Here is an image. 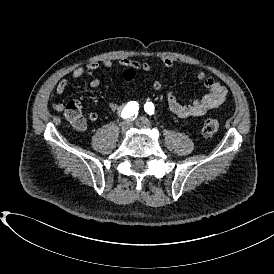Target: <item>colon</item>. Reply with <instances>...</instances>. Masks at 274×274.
Instances as JSON below:
<instances>
[{
    "mask_svg": "<svg viewBox=\"0 0 274 274\" xmlns=\"http://www.w3.org/2000/svg\"><path fill=\"white\" fill-rule=\"evenodd\" d=\"M136 70L129 69L124 73V77L127 80H133L136 77ZM117 88L120 91H125L128 88V83L125 80H120L117 83ZM80 104L76 101H70L65 105V115L73 128L80 130L85 122V119L80 112ZM220 124L216 118H208L204 120L202 125V132L204 135L209 136L219 131Z\"/></svg>",
    "mask_w": 274,
    "mask_h": 274,
    "instance_id": "colon-1",
    "label": "colon"
}]
</instances>
